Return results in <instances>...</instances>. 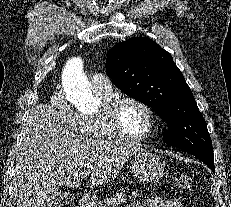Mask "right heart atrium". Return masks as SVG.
<instances>
[{
    "instance_id": "right-heart-atrium-1",
    "label": "right heart atrium",
    "mask_w": 231,
    "mask_h": 207,
    "mask_svg": "<svg viewBox=\"0 0 231 207\" xmlns=\"http://www.w3.org/2000/svg\"><path fill=\"white\" fill-rule=\"evenodd\" d=\"M50 105L61 123L70 128L79 129L81 115L71 107L61 89L53 91Z\"/></svg>"
}]
</instances>
